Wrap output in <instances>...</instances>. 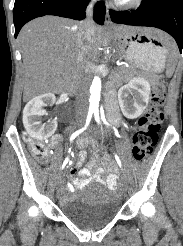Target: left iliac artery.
Wrapping results in <instances>:
<instances>
[{
    "label": "left iliac artery",
    "instance_id": "obj_1",
    "mask_svg": "<svg viewBox=\"0 0 183 246\" xmlns=\"http://www.w3.org/2000/svg\"><path fill=\"white\" fill-rule=\"evenodd\" d=\"M94 116H95V120L97 121V123L100 124V118H99V111L98 110L94 111ZM115 159H116L119 167L122 169V163H121V160L117 154H115Z\"/></svg>",
    "mask_w": 183,
    "mask_h": 246
}]
</instances>
